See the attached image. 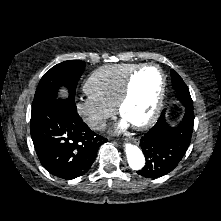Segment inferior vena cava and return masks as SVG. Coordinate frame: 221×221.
<instances>
[{
    "mask_svg": "<svg viewBox=\"0 0 221 221\" xmlns=\"http://www.w3.org/2000/svg\"><path fill=\"white\" fill-rule=\"evenodd\" d=\"M87 124L92 130L103 131L106 128V120L103 118L90 117Z\"/></svg>",
    "mask_w": 221,
    "mask_h": 221,
    "instance_id": "obj_1",
    "label": "inferior vena cava"
}]
</instances>
